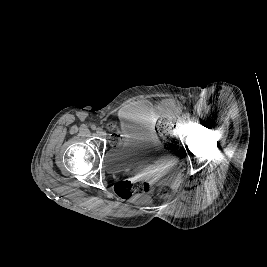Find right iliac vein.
<instances>
[{
	"label": "right iliac vein",
	"instance_id": "obj_1",
	"mask_svg": "<svg viewBox=\"0 0 267 267\" xmlns=\"http://www.w3.org/2000/svg\"><path fill=\"white\" fill-rule=\"evenodd\" d=\"M96 133H97V135H99V136H102V135H103V131H102L101 128H98V129L96 130Z\"/></svg>",
	"mask_w": 267,
	"mask_h": 267
}]
</instances>
